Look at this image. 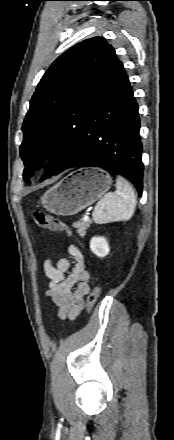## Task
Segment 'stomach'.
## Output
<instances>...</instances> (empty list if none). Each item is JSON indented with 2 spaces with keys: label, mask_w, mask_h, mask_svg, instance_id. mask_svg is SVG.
Instances as JSON below:
<instances>
[{
  "label": "stomach",
  "mask_w": 174,
  "mask_h": 440,
  "mask_svg": "<svg viewBox=\"0 0 174 440\" xmlns=\"http://www.w3.org/2000/svg\"><path fill=\"white\" fill-rule=\"evenodd\" d=\"M112 178L100 168L78 169L48 189L41 197L43 207L59 216H72L100 199Z\"/></svg>",
  "instance_id": "1"
}]
</instances>
